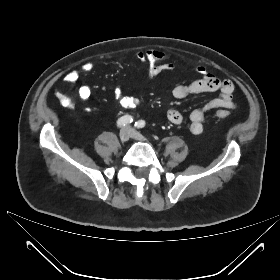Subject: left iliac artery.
Here are the masks:
<instances>
[{
    "instance_id": "44dca946",
    "label": "left iliac artery",
    "mask_w": 280,
    "mask_h": 280,
    "mask_svg": "<svg viewBox=\"0 0 280 280\" xmlns=\"http://www.w3.org/2000/svg\"><path fill=\"white\" fill-rule=\"evenodd\" d=\"M145 126V121L139 120L135 123V127L137 128H143Z\"/></svg>"
}]
</instances>
